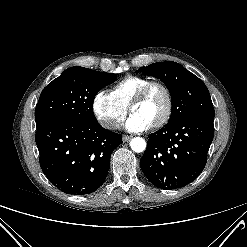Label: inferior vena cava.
I'll list each match as a JSON object with an SVG mask.
<instances>
[{
  "instance_id": "inferior-vena-cava-1",
  "label": "inferior vena cava",
  "mask_w": 247,
  "mask_h": 247,
  "mask_svg": "<svg viewBox=\"0 0 247 247\" xmlns=\"http://www.w3.org/2000/svg\"><path fill=\"white\" fill-rule=\"evenodd\" d=\"M101 125L107 129H113V130L118 127V124L112 120L101 121Z\"/></svg>"
}]
</instances>
